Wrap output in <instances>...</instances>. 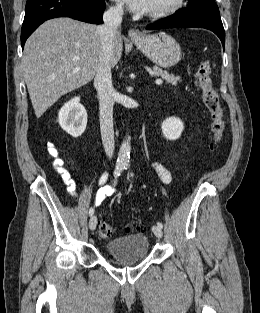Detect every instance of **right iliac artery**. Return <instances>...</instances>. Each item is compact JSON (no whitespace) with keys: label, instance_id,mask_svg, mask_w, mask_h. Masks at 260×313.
<instances>
[{"label":"right iliac artery","instance_id":"1","mask_svg":"<svg viewBox=\"0 0 260 313\" xmlns=\"http://www.w3.org/2000/svg\"><path fill=\"white\" fill-rule=\"evenodd\" d=\"M125 168V166L124 165H121V164H119V165H117L116 166V169H115V171H114V177H115V179L118 177V176H120V174L122 173V171H123V169ZM94 214V208H90L89 209V216H92Z\"/></svg>","mask_w":260,"mask_h":313}]
</instances>
